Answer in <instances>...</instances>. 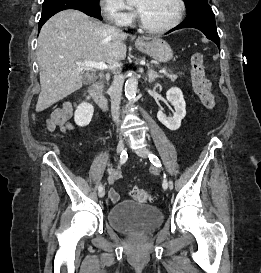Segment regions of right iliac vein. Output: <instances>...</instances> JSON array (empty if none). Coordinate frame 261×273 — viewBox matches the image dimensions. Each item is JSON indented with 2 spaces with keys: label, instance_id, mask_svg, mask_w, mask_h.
<instances>
[{
  "label": "right iliac vein",
  "instance_id": "63e3f726",
  "mask_svg": "<svg viewBox=\"0 0 261 273\" xmlns=\"http://www.w3.org/2000/svg\"><path fill=\"white\" fill-rule=\"evenodd\" d=\"M123 150H124V141L123 139H120L117 145V154L120 155L123 152ZM104 195H105V190L99 191L98 196L100 198L104 197Z\"/></svg>",
  "mask_w": 261,
  "mask_h": 273
}]
</instances>
